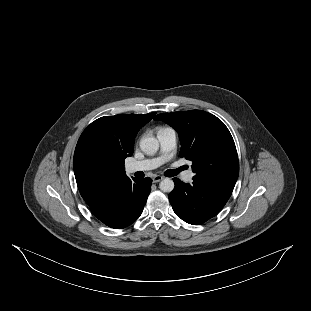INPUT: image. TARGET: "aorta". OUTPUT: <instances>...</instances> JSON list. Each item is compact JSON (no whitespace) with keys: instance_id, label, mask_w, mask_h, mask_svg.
Masks as SVG:
<instances>
[{"instance_id":"1","label":"aorta","mask_w":311,"mask_h":311,"mask_svg":"<svg viewBox=\"0 0 311 311\" xmlns=\"http://www.w3.org/2000/svg\"><path fill=\"white\" fill-rule=\"evenodd\" d=\"M159 142L155 137H144L140 141V149L144 154L153 155L158 151ZM160 189L170 193L174 189V182L170 178H165L160 182Z\"/></svg>"}]
</instances>
